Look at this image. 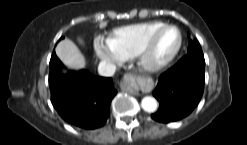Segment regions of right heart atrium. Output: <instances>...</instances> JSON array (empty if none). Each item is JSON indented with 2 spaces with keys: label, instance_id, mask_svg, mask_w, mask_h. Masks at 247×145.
<instances>
[{
  "label": "right heart atrium",
  "instance_id": "d8ad5b80",
  "mask_svg": "<svg viewBox=\"0 0 247 145\" xmlns=\"http://www.w3.org/2000/svg\"><path fill=\"white\" fill-rule=\"evenodd\" d=\"M94 50L97 57L104 62L118 64L123 61V58L108 44V42L96 41Z\"/></svg>",
  "mask_w": 247,
  "mask_h": 145
}]
</instances>
